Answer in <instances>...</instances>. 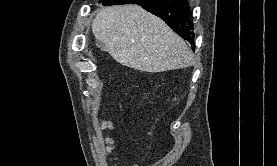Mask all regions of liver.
I'll use <instances>...</instances> for the list:
<instances>
[{"instance_id":"obj_1","label":"liver","mask_w":277,"mask_h":166,"mask_svg":"<svg viewBox=\"0 0 277 166\" xmlns=\"http://www.w3.org/2000/svg\"><path fill=\"white\" fill-rule=\"evenodd\" d=\"M92 33L121 65L146 72H164L193 65L185 41L161 19L138 5L101 9Z\"/></svg>"}]
</instances>
